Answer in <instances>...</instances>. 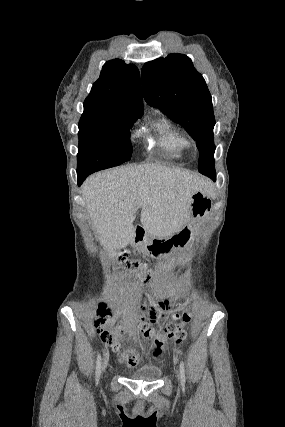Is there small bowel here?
Wrapping results in <instances>:
<instances>
[{"label": "small bowel", "mask_w": 285, "mask_h": 427, "mask_svg": "<svg viewBox=\"0 0 285 427\" xmlns=\"http://www.w3.org/2000/svg\"><path fill=\"white\" fill-rule=\"evenodd\" d=\"M171 301L167 298L162 299L159 302L153 303L146 308L147 320L149 326L155 325L157 322V314L164 313L171 309Z\"/></svg>", "instance_id": "1"}]
</instances>
